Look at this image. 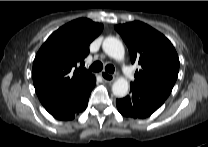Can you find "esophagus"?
<instances>
[{
  "mask_svg": "<svg viewBox=\"0 0 208 147\" xmlns=\"http://www.w3.org/2000/svg\"><path fill=\"white\" fill-rule=\"evenodd\" d=\"M100 75L103 78V80L106 81V82L111 83V82H113L115 80V76L114 75L109 74V73H107L105 71L101 72Z\"/></svg>",
  "mask_w": 208,
  "mask_h": 147,
  "instance_id": "obj_1",
  "label": "esophagus"
}]
</instances>
